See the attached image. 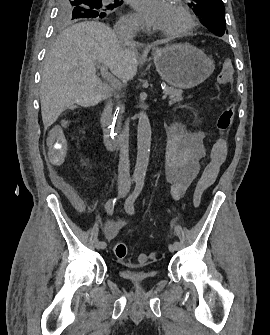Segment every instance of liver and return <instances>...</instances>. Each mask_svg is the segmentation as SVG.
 <instances>
[{"instance_id":"1","label":"liver","mask_w":270,"mask_h":335,"mask_svg":"<svg viewBox=\"0 0 270 335\" xmlns=\"http://www.w3.org/2000/svg\"><path fill=\"white\" fill-rule=\"evenodd\" d=\"M158 40L156 44H164ZM138 42L120 44L114 30L102 22H79L63 30L52 42L45 58L40 84L44 126H51L73 104L88 106L101 96L102 82L95 74L96 62L128 82L136 76Z\"/></svg>"}]
</instances>
